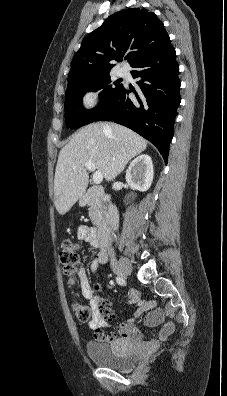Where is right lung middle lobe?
Listing matches in <instances>:
<instances>
[{
    "label": "right lung middle lobe",
    "mask_w": 227,
    "mask_h": 396,
    "mask_svg": "<svg viewBox=\"0 0 227 396\" xmlns=\"http://www.w3.org/2000/svg\"><path fill=\"white\" fill-rule=\"evenodd\" d=\"M115 83H118L116 81ZM122 88V84H111L109 73L79 82L67 88L65 98V118L68 128L75 129L93 122L95 116L112 100L117 92ZM100 92V102L92 110H86L82 105V97L88 91Z\"/></svg>",
    "instance_id": "1"
}]
</instances>
